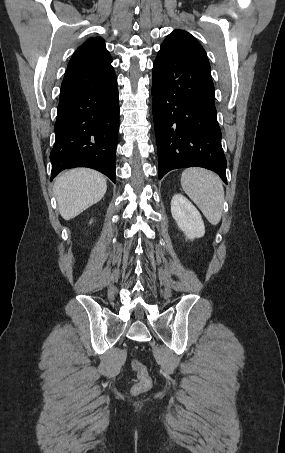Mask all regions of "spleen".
I'll use <instances>...</instances> for the list:
<instances>
[{
  "label": "spleen",
  "mask_w": 285,
  "mask_h": 453,
  "mask_svg": "<svg viewBox=\"0 0 285 453\" xmlns=\"http://www.w3.org/2000/svg\"><path fill=\"white\" fill-rule=\"evenodd\" d=\"M181 185L210 224L217 225L222 217L224 201L220 177L203 168H188L182 173Z\"/></svg>",
  "instance_id": "1"
}]
</instances>
